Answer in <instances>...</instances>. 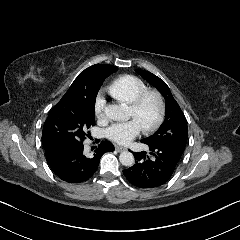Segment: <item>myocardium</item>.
<instances>
[{"label": "myocardium", "mask_w": 240, "mask_h": 240, "mask_svg": "<svg viewBox=\"0 0 240 240\" xmlns=\"http://www.w3.org/2000/svg\"><path fill=\"white\" fill-rule=\"evenodd\" d=\"M149 97H152L156 101L158 106V114L156 120L150 126L141 128L144 133H152L159 129L164 121L166 113L165 102L162 95L158 91L150 89H146L138 94L134 101L129 105V109L133 113L137 112L142 106L143 102Z\"/></svg>", "instance_id": "myocardium-1"}]
</instances>
